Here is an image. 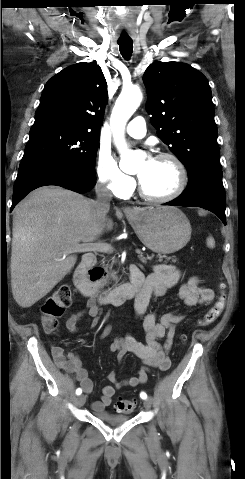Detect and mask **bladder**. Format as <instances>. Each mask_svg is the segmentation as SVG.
<instances>
[{
  "label": "bladder",
  "instance_id": "31cf9c89",
  "mask_svg": "<svg viewBox=\"0 0 245 479\" xmlns=\"http://www.w3.org/2000/svg\"><path fill=\"white\" fill-rule=\"evenodd\" d=\"M95 418L114 425L122 424L130 419L129 415H114L110 413H97L94 415Z\"/></svg>",
  "mask_w": 245,
  "mask_h": 479
}]
</instances>
